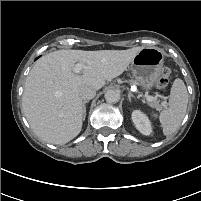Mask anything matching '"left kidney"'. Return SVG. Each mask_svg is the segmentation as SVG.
I'll return each mask as SVG.
<instances>
[{"label": "left kidney", "mask_w": 201, "mask_h": 201, "mask_svg": "<svg viewBox=\"0 0 201 201\" xmlns=\"http://www.w3.org/2000/svg\"><path fill=\"white\" fill-rule=\"evenodd\" d=\"M132 120L135 127L144 135H150L152 133V126L148 117L140 110H134L132 112Z\"/></svg>", "instance_id": "1"}]
</instances>
